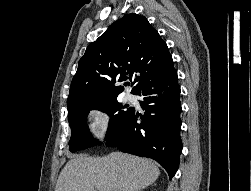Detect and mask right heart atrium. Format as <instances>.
<instances>
[{
    "instance_id": "obj_1",
    "label": "right heart atrium",
    "mask_w": 251,
    "mask_h": 191,
    "mask_svg": "<svg viewBox=\"0 0 251 191\" xmlns=\"http://www.w3.org/2000/svg\"><path fill=\"white\" fill-rule=\"evenodd\" d=\"M85 118L91 137L102 142L108 138L112 129V119L109 112L100 106H92L86 110Z\"/></svg>"
}]
</instances>
